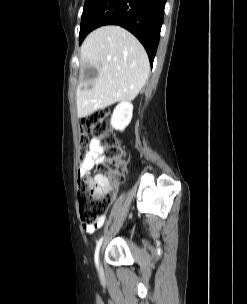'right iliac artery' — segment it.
I'll return each instance as SVG.
<instances>
[{
	"label": "right iliac artery",
	"instance_id": "82829eb1",
	"mask_svg": "<svg viewBox=\"0 0 247 304\" xmlns=\"http://www.w3.org/2000/svg\"><path fill=\"white\" fill-rule=\"evenodd\" d=\"M102 242H103V237H101L99 239V241L97 242V245H96V249H95V263H96L97 268H99V251H100Z\"/></svg>",
	"mask_w": 247,
	"mask_h": 304
}]
</instances>
